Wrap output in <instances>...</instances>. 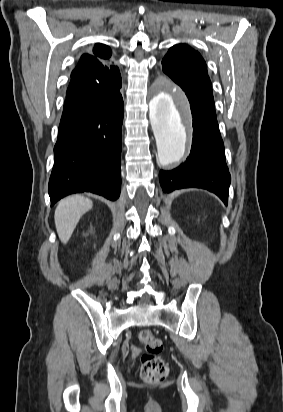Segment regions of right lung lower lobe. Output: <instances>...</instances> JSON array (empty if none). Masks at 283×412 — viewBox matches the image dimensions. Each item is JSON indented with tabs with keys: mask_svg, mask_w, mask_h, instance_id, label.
<instances>
[{
	"mask_svg": "<svg viewBox=\"0 0 283 412\" xmlns=\"http://www.w3.org/2000/svg\"><path fill=\"white\" fill-rule=\"evenodd\" d=\"M120 88L121 80L94 81L66 96L49 180L51 206L85 191L110 200L119 197L124 110Z\"/></svg>",
	"mask_w": 283,
	"mask_h": 412,
	"instance_id": "1",
	"label": "right lung lower lobe"
}]
</instances>
